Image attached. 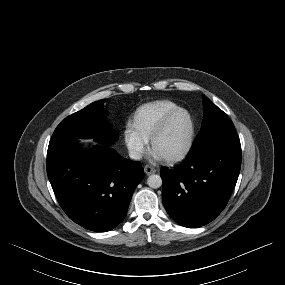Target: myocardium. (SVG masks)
Listing matches in <instances>:
<instances>
[{"mask_svg": "<svg viewBox=\"0 0 285 285\" xmlns=\"http://www.w3.org/2000/svg\"><path fill=\"white\" fill-rule=\"evenodd\" d=\"M179 113H185L187 115V117L189 118L190 131H189L188 140H187V143H186V146L184 147V149L179 154H177L175 156L163 158L165 162L170 163V164L178 163V162L184 160L190 154V152L194 146V142H195V138H196V123H195V119H194L193 115L191 114V112L189 110H187L186 108H183V107H178V108L170 111L161 120V122L159 123V125L157 126V128L155 129V131L153 132V134L150 137V146H151L152 151L155 152L156 141L165 132L166 128L168 127L169 123L174 118V116H176Z\"/></svg>", "mask_w": 285, "mask_h": 285, "instance_id": "1", "label": "myocardium"}]
</instances>
